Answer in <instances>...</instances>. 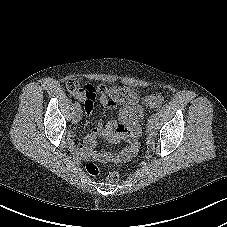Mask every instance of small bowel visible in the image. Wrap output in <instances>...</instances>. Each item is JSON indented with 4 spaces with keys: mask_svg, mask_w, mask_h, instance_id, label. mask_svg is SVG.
Listing matches in <instances>:
<instances>
[{
    "mask_svg": "<svg viewBox=\"0 0 227 227\" xmlns=\"http://www.w3.org/2000/svg\"><path fill=\"white\" fill-rule=\"evenodd\" d=\"M91 86V85H89ZM88 87V86H87ZM74 96L84 104L85 112L92 116L94 99L90 97L86 88L81 89ZM100 103L103 107L114 110L117 103L113 102L107 95H100ZM139 97L133 92L129 103L123 104L118 110L115 120L109 121L105 126L98 123L86 136L83 144L71 140V150L88 160L120 161L132 157L137 150V140L140 133V122L143 118L142 107L138 104ZM73 137V135L71 136ZM102 137L111 143H118L123 140L126 146L119 152L95 151L96 140Z\"/></svg>",
    "mask_w": 227,
    "mask_h": 227,
    "instance_id": "small-bowel-1",
    "label": "small bowel"
}]
</instances>
